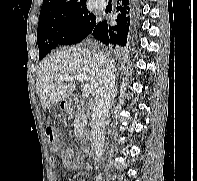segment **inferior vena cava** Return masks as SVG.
<instances>
[{"label": "inferior vena cava", "instance_id": "obj_1", "mask_svg": "<svg viewBox=\"0 0 197 181\" xmlns=\"http://www.w3.org/2000/svg\"><path fill=\"white\" fill-rule=\"evenodd\" d=\"M115 75L107 64L101 69L98 88L95 93V103L91 115L92 146L96 160L99 163L103 156L105 142V120L109 108L114 100ZM101 174L96 176V181H101Z\"/></svg>", "mask_w": 197, "mask_h": 181}]
</instances>
